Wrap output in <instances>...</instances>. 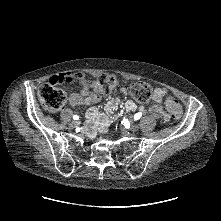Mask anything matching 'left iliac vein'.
<instances>
[{
    "mask_svg": "<svg viewBox=\"0 0 221 221\" xmlns=\"http://www.w3.org/2000/svg\"><path fill=\"white\" fill-rule=\"evenodd\" d=\"M138 129H139V125L137 123H134L131 125L129 131L136 132ZM125 131H126V129H125Z\"/></svg>",
    "mask_w": 221,
    "mask_h": 221,
    "instance_id": "1",
    "label": "left iliac vein"
}]
</instances>
